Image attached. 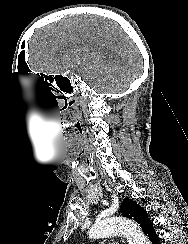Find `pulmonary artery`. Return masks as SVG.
<instances>
[{"label": "pulmonary artery", "instance_id": "pulmonary-artery-1", "mask_svg": "<svg viewBox=\"0 0 188 244\" xmlns=\"http://www.w3.org/2000/svg\"><path fill=\"white\" fill-rule=\"evenodd\" d=\"M102 244H104V243H102ZM109 244H118V243H109Z\"/></svg>", "mask_w": 188, "mask_h": 244}]
</instances>
